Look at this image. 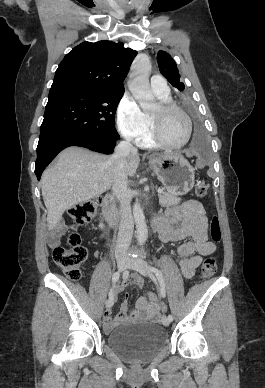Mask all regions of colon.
<instances>
[{"label": "colon", "instance_id": "1", "mask_svg": "<svg viewBox=\"0 0 265 388\" xmlns=\"http://www.w3.org/2000/svg\"><path fill=\"white\" fill-rule=\"evenodd\" d=\"M208 192V185L206 183H199L196 187V194L203 197ZM100 199L95 198L86 200L73 205L68 214L72 219L74 226H79L88 223L95 216ZM210 234L214 242L221 240L220 221L217 216H212L210 220ZM69 247H56L53 251V259L55 263L63 270L64 274L71 280H78L81 277L82 268L87 258V250L81 245L80 235L73 231L68 237ZM217 269L216 257L210 255L205 258L201 266V276L205 279L210 278ZM145 297L150 303L158 304L162 310L164 306L161 305L158 296L152 291H147Z\"/></svg>", "mask_w": 265, "mask_h": 388}]
</instances>
